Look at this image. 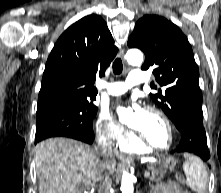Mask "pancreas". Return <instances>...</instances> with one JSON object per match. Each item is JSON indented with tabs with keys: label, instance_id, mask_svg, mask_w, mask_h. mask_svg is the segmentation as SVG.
Instances as JSON below:
<instances>
[{
	"label": "pancreas",
	"instance_id": "pancreas-1",
	"mask_svg": "<svg viewBox=\"0 0 221 193\" xmlns=\"http://www.w3.org/2000/svg\"><path fill=\"white\" fill-rule=\"evenodd\" d=\"M148 169L151 171V176L149 177V179L151 181H159L161 180L164 175H165V170L164 169H157L154 166H148Z\"/></svg>",
	"mask_w": 221,
	"mask_h": 193
}]
</instances>
